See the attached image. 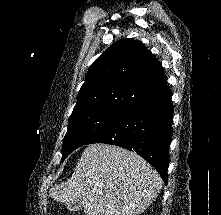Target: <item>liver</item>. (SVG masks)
<instances>
[{
	"mask_svg": "<svg viewBox=\"0 0 221 215\" xmlns=\"http://www.w3.org/2000/svg\"><path fill=\"white\" fill-rule=\"evenodd\" d=\"M158 172L141 156L122 147L90 144L67 182L50 190L57 202L81 200L86 215H138L157 198Z\"/></svg>",
	"mask_w": 221,
	"mask_h": 215,
	"instance_id": "6515ba94",
	"label": "liver"
}]
</instances>
